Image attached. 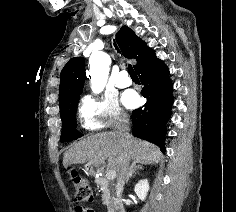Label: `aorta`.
<instances>
[{
	"label": "aorta",
	"instance_id": "aorta-1",
	"mask_svg": "<svg viewBox=\"0 0 236 212\" xmlns=\"http://www.w3.org/2000/svg\"><path fill=\"white\" fill-rule=\"evenodd\" d=\"M89 64L91 89L94 93H100L108 80L111 59L106 53L100 52L90 56Z\"/></svg>",
	"mask_w": 236,
	"mask_h": 212
}]
</instances>
